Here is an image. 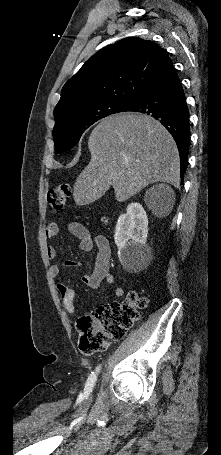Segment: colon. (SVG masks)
Instances as JSON below:
<instances>
[{"instance_id": "5ec220e1", "label": "colon", "mask_w": 221, "mask_h": 455, "mask_svg": "<svg viewBox=\"0 0 221 455\" xmlns=\"http://www.w3.org/2000/svg\"><path fill=\"white\" fill-rule=\"evenodd\" d=\"M72 193L71 186L63 183L49 190L47 204L54 213L63 210ZM147 304L145 298L130 293L124 302H112L98 307L94 312L77 320L80 332L79 348L83 353L104 350L109 342L122 339L139 319L140 311Z\"/></svg>"}]
</instances>
